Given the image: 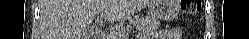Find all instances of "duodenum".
I'll list each match as a JSON object with an SVG mask.
<instances>
[{
	"instance_id": "410a0bca",
	"label": "duodenum",
	"mask_w": 249,
	"mask_h": 39,
	"mask_svg": "<svg viewBox=\"0 0 249 39\" xmlns=\"http://www.w3.org/2000/svg\"><path fill=\"white\" fill-rule=\"evenodd\" d=\"M100 38L101 39H107L108 37L103 34Z\"/></svg>"
}]
</instances>
